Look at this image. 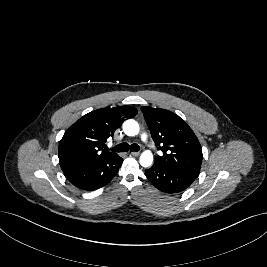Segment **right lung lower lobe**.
Masks as SVG:
<instances>
[{
	"label": "right lung lower lobe",
	"mask_w": 267,
	"mask_h": 267,
	"mask_svg": "<svg viewBox=\"0 0 267 267\" xmlns=\"http://www.w3.org/2000/svg\"><path fill=\"white\" fill-rule=\"evenodd\" d=\"M123 159L114 156L63 171L66 178L83 190H96L109 183L117 174Z\"/></svg>",
	"instance_id": "98d812e1"
}]
</instances>
